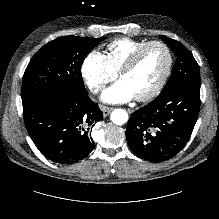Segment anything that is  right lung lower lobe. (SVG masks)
Here are the masks:
<instances>
[{"label":"right lung lower lobe","instance_id":"right-lung-lower-lobe-1","mask_svg":"<svg viewBox=\"0 0 219 219\" xmlns=\"http://www.w3.org/2000/svg\"><path fill=\"white\" fill-rule=\"evenodd\" d=\"M22 104L27 131L46 158L71 164L94 149L90 131L103 114L87 94L60 89L22 99Z\"/></svg>","mask_w":219,"mask_h":219}]
</instances>
